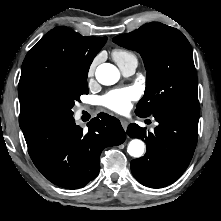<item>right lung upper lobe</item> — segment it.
I'll list each match as a JSON object with an SVG mask.
<instances>
[{"mask_svg":"<svg viewBox=\"0 0 221 221\" xmlns=\"http://www.w3.org/2000/svg\"><path fill=\"white\" fill-rule=\"evenodd\" d=\"M106 37H84L59 26L49 31L26 55L18 85L20 127L30 122L26 100L59 75L82 71L106 43Z\"/></svg>","mask_w":221,"mask_h":221,"instance_id":"cb5924a9","label":"right lung upper lobe"}]
</instances>
